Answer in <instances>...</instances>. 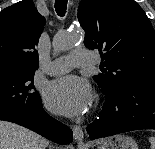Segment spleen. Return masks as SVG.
<instances>
[{
	"label": "spleen",
	"instance_id": "3e777b00",
	"mask_svg": "<svg viewBox=\"0 0 155 149\" xmlns=\"http://www.w3.org/2000/svg\"><path fill=\"white\" fill-rule=\"evenodd\" d=\"M149 142L151 144L150 149H155V137H149Z\"/></svg>",
	"mask_w": 155,
	"mask_h": 149
}]
</instances>
